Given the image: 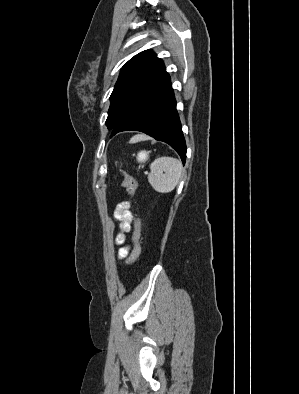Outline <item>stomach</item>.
<instances>
[{
    "label": "stomach",
    "instance_id": "0dacf381",
    "mask_svg": "<svg viewBox=\"0 0 299 394\" xmlns=\"http://www.w3.org/2000/svg\"><path fill=\"white\" fill-rule=\"evenodd\" d=\"M147 157H148V153H147L146 151H141V152L138 154L137 159H138L139 161H144V160L147 159Z\"/></svg>",
    "mask_w": 299,
    "mask_h": 394
}]
</instances>
